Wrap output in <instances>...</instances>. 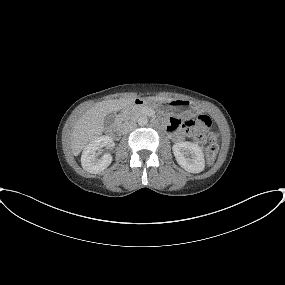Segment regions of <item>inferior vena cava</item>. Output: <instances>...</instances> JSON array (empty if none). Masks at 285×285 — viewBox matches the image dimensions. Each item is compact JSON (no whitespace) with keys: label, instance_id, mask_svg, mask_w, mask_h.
Instances as JSON below:
<instances>
[{"label":"inferior vena cava","instance_id":"1","mask_svg":"<svg viewBox=\"0 0 285 285\" xmlns=\"http://www.w3.org/2000/svg\"><path fill=\"white\" fill-rule=\"evenodd\" d=\"M136 123L135 122H126L122 125L121 132L123 134H127L128 132L134 130L136 128Z\"/></svg>","mask_w":285,"mask_h":285}]
</instances>
